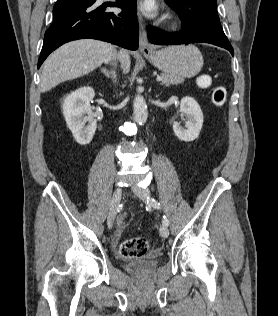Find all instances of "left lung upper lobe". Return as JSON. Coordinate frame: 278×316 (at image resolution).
Wrapping results in <instances>:
<instances>
[{"label":"left lung upper lobe","mask_w":278,"mask_h":316,"mask_svg":"<svg viewBox=\"0 0 278 316\" xmlns=\"http://www.w3.org/2000/svg\"><path fill=\"white\" fill-rule=\"evenodd\" d=\"M165 1L178 13L186 28L227 38L220 24L216 0Z\"/></svg>","instance_id":"obj_1"}]
</instances>
